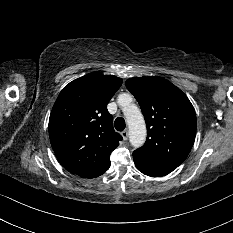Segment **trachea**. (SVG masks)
<instances>
[{"instance_id":"3493384b","label":"trachea","mask_w":233,"mask_h":233,"mask_svg":"<svg viewBox=\"0 0 233 233\" xmlns=\"http://www.w3.org/2000/svg\"><path fill=\"white\" fill-rule=\"evenodd\" d=\"M115 129L117 131H123L125 129V120L122 117H117L114 122Z\"/></svg>"}]
</instances>
